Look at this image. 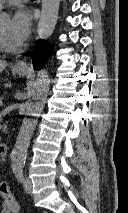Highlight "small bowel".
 <instances>
[{"mask_svg": "<svg viewBox=\"0 0 128 213\" xmlns=\"http://www.w3.org/2000/svg\"><path fill=\"white\" fill-rule=\"evenodd\" d=\"M0 213H10V210L7 208L4 202L0 205Z\"/></svg>", "mask_w": 128, "mask_h": 213, "instance_id": "1", "label": "small bowel"}]
</instances>
